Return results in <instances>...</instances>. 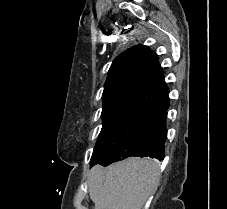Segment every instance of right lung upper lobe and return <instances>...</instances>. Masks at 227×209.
Masks as SVG:
<instances>
[{
  "label": "right lung upper lobe",
  "instance_id": "right-lung-upper-lobe-1",
  "mask_svg": "<svg viewBox=\"0 0 227 209\" xmlns=\"http://www.w3.org/2000/svg\"><path fill=\"white\" fill-rule=\"evenodd\" d=\"M168 93L157 54L147 46L137 45L114 59L104 86L102 112L119 99L153 108Z\"/></svg>",
  "mask_w": 227,
  "mask_h": 209
}]
</instances>
